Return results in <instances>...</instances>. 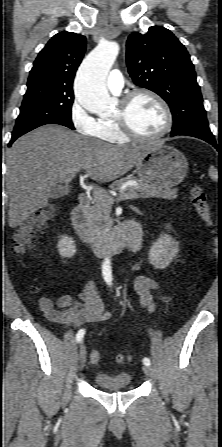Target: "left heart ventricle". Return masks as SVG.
Masks as SVG:
<instances>
[{
  "label": "left heart ventricle",
  "mask_w": 222,
  "mask_h": 447,
  "mask_svg": "<svg viewBox=\"0 0 222 447\" xmlns=\"http://www.w3.org/2000/svg\"><path fill=\"white\" fill-rule=\"evenodd\" d=\"M132 128L141 135H155L163 128L165 116L162 108L151 97L137 96L128 109Z\"/></svg>",
  "instance_id": "obj_1"
}]
</instances>
